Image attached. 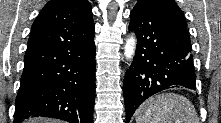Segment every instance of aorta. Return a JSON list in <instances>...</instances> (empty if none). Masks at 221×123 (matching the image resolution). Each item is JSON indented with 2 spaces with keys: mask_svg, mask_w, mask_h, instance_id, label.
Wrapping results in <instances>:
<instances>
[{
  "mask_svg": "<svg viewBox=\"0 0 221 123\" xmlns=\"http://www.w3.org/2000/svg\"><path fill=\"white\" fill-rule=\"evenodd\" d=\"M135 48H136V39L131 36L130 38L127 39L126 45H125V57L127 59H132L135 53Z\"/></svg>",
  "mask_w": 221,
  "mask_h": 123,
  "instance_id": "762f6f07",
  "label": "aorta"
}]
</instances>
